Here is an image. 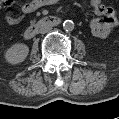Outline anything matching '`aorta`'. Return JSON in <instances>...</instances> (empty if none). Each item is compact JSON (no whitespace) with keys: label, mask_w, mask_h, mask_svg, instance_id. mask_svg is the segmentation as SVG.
<instances>
[{"label":"aorta","mask_w":119,"mask_h":119,"mask_svg":"<svg viewBox=\"0 0 119 119\" xmlns=\"http://www.w3.org/2000/svg\"><path fill=\"white\" fill-rule=\"evenodd\" d=\"M63 29L66 31H72L74 29V23L71 20H65L63 23Z\"/></svg>","instance_id":"1"}]
</instances>
